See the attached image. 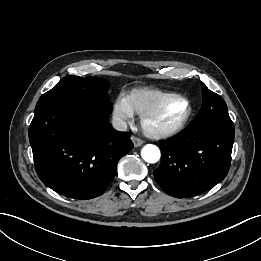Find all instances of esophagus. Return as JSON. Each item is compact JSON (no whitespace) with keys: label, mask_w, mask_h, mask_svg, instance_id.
<instances>
[{"label":"esophagus","mask_w":261,"mask_h":261,"mask_svg":"<svg viewBox=\"0 0 261 261\" xmlns=\"http://www.w3.org/2000/svg\"><path fill=\"white\" fill-rule=\"evenodd\" d=\"M131 140H132V142H133L135 147H139V146H141L143 144V140L138 138V137H136V136H132Z\"/></svg>","instance_id":"esophagus-1"}]
</instances>
